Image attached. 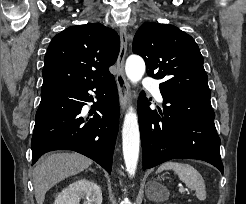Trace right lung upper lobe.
<instances>
[{
  "instance_id": "1",
  "label": "right lung upper lobe",
  "mask_w": 246,
  "mask_h": 204,
  "mask_svg": "<svg viewBox=\"0 0 246 204\" xmlns=\"http://www.w3.org/2000/svg\"><path fill=\"white\" fill-rule=\"evenodd\" d=\"M118 34L100 23L71 26L51 41L44 59L41 91L105 80L117 59Z\"/></svg>"
}]
</instances>
